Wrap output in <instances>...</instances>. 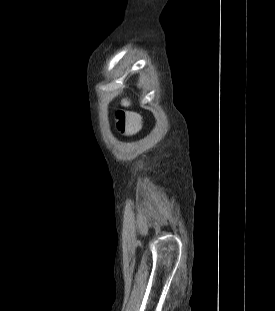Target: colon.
<instances>
[{
    "instance_id": "colon-1",
    "label": "colon",
    "mask_w": 275,
    "mask_h": 311,
    "mask_svg": "<svg viewBox=\"0 0 275 311\" xmlns=\"http://www.w3.org/2000/svg\"><path fill=\"white\" fill-rule=\"evenodd\" d=\"M116 116L118 118V129L123 134H129L138 127L137 117L125 118L122 113H117Z\"/></svg>"
}]
</instances>
